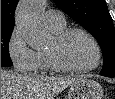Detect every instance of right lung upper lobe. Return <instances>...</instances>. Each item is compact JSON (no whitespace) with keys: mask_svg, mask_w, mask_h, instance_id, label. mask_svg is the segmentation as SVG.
I'll return each instance as SVG.
<instances>
[{"mask_svg":"<svg viewBox=\"0 0 115 99\" xmlns=\"http://www.w3.org/2000/svg\"><path fill=\"white\" fill-rule=\"evenodd\" d=\"M18 0H1V29L14 28V12Z\"/></svg>","mask_w":115,"mask_h":99,"instance_id":"obj_1","label":"right lung upper lobe"}]
</instances>
